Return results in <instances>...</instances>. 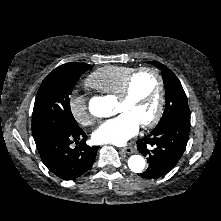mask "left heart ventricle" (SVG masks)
<instances>
[{
  "instance_id": "b2bd125f",
  "label": "left heart ventricle",
  "mask_w": 221,
  "mask_h": 221,
  "mask_svg": "<svg viewBox=\"0 0 221 221\" xmlns=\"http://www.w3.org/2000/svg\"><path fill=\"white\" fill-rule=\"evenodd\" d=\"M158 101V81L150 73L140 74L134 81L128 100L117 101L115 114L128 113L139 124L149 121Z\"/></svg>"
}]
</instances>
